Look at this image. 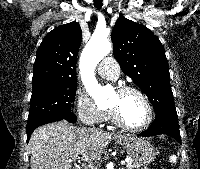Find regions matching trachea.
Wrapping results in <instances>:
<instances>
[{
  "label": "trachea",
  "instance_id": "3493384b",
  "mask_svg": "<svg viewBox=\"0 0 200 169\" xmlns=\"http://www.w3.org/2000/svg\"><path fill=\"white\" fill-rule=\"evenodd\" d=\"M102 1L103 0H94V6L97 8V9H100L102 7Z\"/></svg>",
  "mask_w": 200,
  "mask_h": 169
}]
</instances>
